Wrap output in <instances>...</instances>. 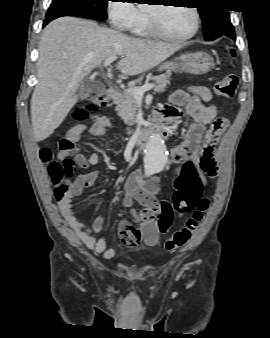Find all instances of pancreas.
I'll list each match as a JSON object with an SVG mask.
<instances>
[{
	"mask_svg": "<svg viewBox=\"0 0 270 338\" xmlns=\"http://www.w3.org/2000/svg\"><path fill=\"white\" fill-rule=\"evenodd\" d=\"M170 84V75H160L154 78L153 88L157 93L164 92L167 85ZM119 116L125 124L131 126L136 123L137 99L125 90L121 94V99L116 102Z\"/></svg>",
	"mask_w": 270,
	"mask_h": 338,
	"instance_id": "cf45deb5",
	"label": "pancreas"
}]
</instances>
